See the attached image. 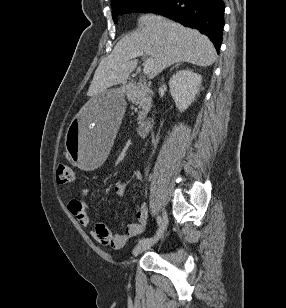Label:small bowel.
Masks as SVG:
<instances>
[{"instance_id": "c3829d8e", "label": "small bowel", "mask_w": 286, "mask_h": 308, "mask_svg": "<svg viewBox=\"0 0 286 308\" xmlns=\"http://www.w3.org/2000/svg\"><path fill=\"white\" fill-rule=\"evenodd\" d=\"M141 179V172L135 171L116 182L113 186L114 192L118 196H121L124 193L125 186L129 181H140ZM87 193L88 190L83 189L79 198H72L68 202V210L83 227H87L90 224V218L84 201ZM136 217L138 222L128 224L125 231L122 233H114L109 225L98 223L94 230L91 231V236L94 240L104 246H109L114 249H121L131 238L136 237L144 231L148 221V212L145 206L142 205L137 209Z\"/></svg>"}]
</instances>
